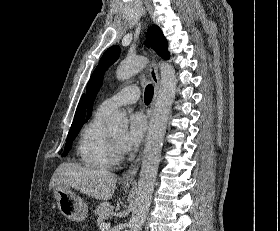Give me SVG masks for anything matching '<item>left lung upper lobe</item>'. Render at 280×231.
<instances>
[{
  "mask_svg": "<svg viewBox=\"0 0 280 231\" xmlns=\"http://www.w3.org/2000/svg\"><path fill=\"white\" fill-rule=\"evenodd\" d=\"M147 39L149 41L148 45L151 46L159 56L165 59H169L170 55L168 52V44L161 29L158 26L153 25L148 29ZM119 55H120V48L118 46L110 47L105 51V53L103 54L102 58L99 61V65L93 72L87 84V90H86V99L88 103L87 119L91 115L93 102L100 89V86L102 85L104 71L119 58Z\"/></svg>",
  "mask_w": 280,
  "mask_h": 231,
  "instance_id": "obj_1",
  "label": "left lung upper lobe"
}]
</instances>
